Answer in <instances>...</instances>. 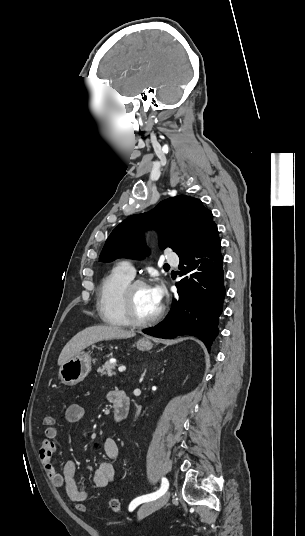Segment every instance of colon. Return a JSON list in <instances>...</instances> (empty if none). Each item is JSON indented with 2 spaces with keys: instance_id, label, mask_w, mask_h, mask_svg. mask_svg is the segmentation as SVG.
Segmentation results:
<instances>
[{
  "instance_id": "obj_1",
  "label": "colon",
  "mask_w": 305,
  "mask_h": 536,
  "mask_svg": "<svg viewBox=\"0 0 305 536\" xmlns=\"http://www.w3.org/2000/svg\"><path fill=\"white\" fill-rule=\"evenodd\" d=\"M43 423L45 426H51L54 423V419L51 415H45V417L43 418ZM74 506L81 512H84L87 509L86 504L82 503V501L80 500L75 501ZM110 507L113 509L119 508V502L117 500H112L110 502Z\"/></svg>"
}]
</instances>
